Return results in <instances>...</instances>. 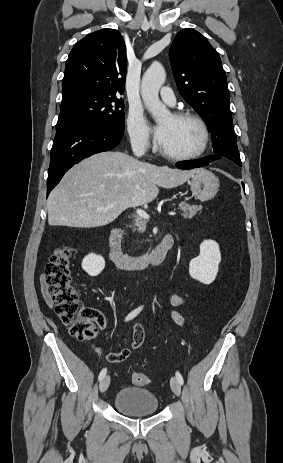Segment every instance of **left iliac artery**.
Returning a JSON list of instances; mask_svg holds the SVG:
<instances>
[{"label": "left iliac artery", "instance_id": "44dca946", "mask_svg": "<svg viewBox=\"0 0 283 463\" xmlns=\"http://www.w3.org/2000/svg\"><path fill=\"white\" fill-rule=\"evenodd\" d=\"M176 378L181 385L184 383L183 377L179 372H176Z\"/></svg>", "mask_w": 283, "mask_h": 463}]
</instances>
